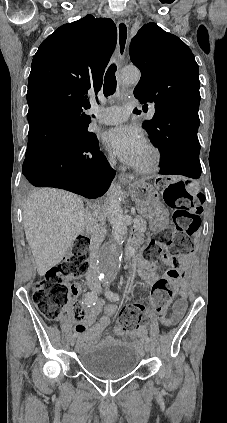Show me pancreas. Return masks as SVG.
<instances>
[{
  "label": "pancreas",
  "instance_id": "pancreas-1",
  "mask_svg": "<svg viewBox=\"0 0 227 423\" xmlns=\"http://www.w3.org/2000/svg\"><path fill=\"white\" fill-rule=\"evenodd\" d=\"M138 219H139V221L136 225L137 229H141V231H145L147 221H145V219H143L142 215H139Z\"/></svg>",
  "mask_w": 227,
  "mask_h": 423
}]
</instances>
